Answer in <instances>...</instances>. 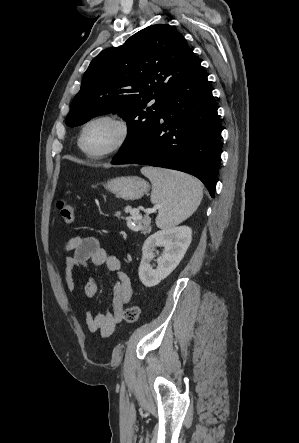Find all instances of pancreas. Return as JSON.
Returning <instances> with one entry per match:
<instances>
[{
    "mask_svg": "<svg viewBox=\"0 0 299 443\" xmlns=\"http://www.w3.org/2000/svg\"><path fill=\"white\" fill-rule=\"evenodd\" d=\"M138 216V213H135L133 215V218L136 220L137 223V229L141 231L144 235H146L151 231V220L148 217L139 218Z\"/></svg>",
    "mask_w": 299,
    "mask_h": 443,
    "instance_id": "pancreas-1",
    "label": "pancreas"
}]
</instances>
